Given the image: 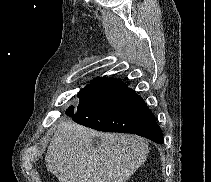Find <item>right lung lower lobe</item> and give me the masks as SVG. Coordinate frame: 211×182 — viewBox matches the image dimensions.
<instances>
[{
  "label": "right lung lower lobe",
  "instance_id": "1",
  "mask_svg": "<svg viewBox=\"0 0 211 182\" xmlns=\"http://www.w3.org/2000/svg\"><path fill=\"white\" fill-rule=\"evenodd\" d=\"M78 97V107L66 110L73 121L99 131L133 133L163 143L151 110L121 79L96 78Z\"/></svg>",
  "mask_w": 211,
  "mask_h": 182
}]
</instances>
